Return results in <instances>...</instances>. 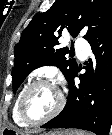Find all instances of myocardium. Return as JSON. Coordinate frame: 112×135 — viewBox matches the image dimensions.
I'll use <instances>...</instances> for the list:
<instances>
[{"mask_svg":"<svg viewBox=\"0 0 112 135\" xmlns=\"http://www.w3.org/2000/svg\"><path fill=\"white\" fill-rule=\"evenodd\" d=\"M40 85L54 86L58 90V93H59V103L56 106V108L51 113H49L48 115H45V116H42V117H35V116L31 115L28 111L27 98H28L30 92L35 87L40 86ZM64 105H65V96L62 93V91L51 80L41 78V79H37V80L31 82L23 90V92L20 96V99H19V114H20V117L25 122H27L29 124H32V125H35V124L47 122V121L55 118L62 111Z\"/></svg>","mask_w":112,"mask_h":135,"instance_id":"obj_1","label":"myocardium"}]
</instances>
